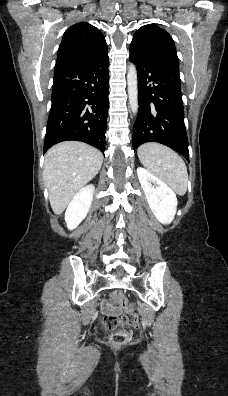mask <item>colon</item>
<instances>
[{"label":"colon","instance_id":"colon-1","mask_svg":"<svg viewBox=\"0 0 228 396\" xmlns=\"http://www.w3.org/2000/svg\"><path fill=\"white\" fill-rule=\"evenodd\" d=\"M111 302L115 306L124 308V312L119 315H105L101 319L102 328L111 333L110 342L114 346L125 344L130 337V333L125 327L138 328L139 317L135 312V306L129 303L123 292L116 290L111 295Z\"/></svg>","mask_w":228,"mask_h":396}]
</instances>
